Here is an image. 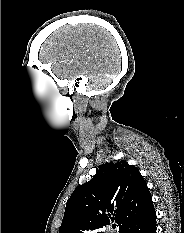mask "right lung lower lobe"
Returning <instances> with one entry per match:
<instances>
[{
	"mask_svg": "<svg viewBox=\"0 0 184 233\" xmlns=\"http://www.w3.org/2000/svg\"><path fill=\"white\" fill-rule=\"evenodd\" d=\"M121 233H156V212L151 205L139 218L127 225Z\"/></svg>",
	"mask_w": 184,
	"mask_h": 233,
	"instance_id": "1",
	"label": "right lung lower lobe"
}]
</instances>
